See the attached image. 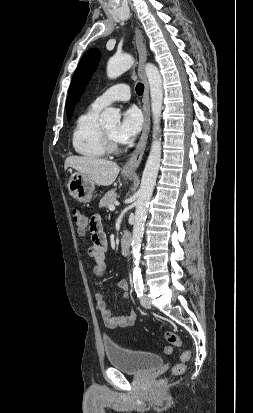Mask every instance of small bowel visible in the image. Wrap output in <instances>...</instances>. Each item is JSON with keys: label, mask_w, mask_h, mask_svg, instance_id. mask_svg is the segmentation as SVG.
<instances>
[{"label": "small bowel", "mask_w": 253, "mask_h": 413, "mask_svg": "<svg viewBox=\"0 0 253 413\" xmlns=\"http://www.w3.org/2000/svg\"><path fill=\"white\" fill-rule=\"evenodd\" d=\"M88 223L93 242L88 249V254L94 260V274L100 277L105 274L107 269L105 260L107 239L103 230L102 219L99 215L92 216ZM117 287L123 291H127L129 283L126 279H122L118 281ZM125 296L127 297V294H125ZM94 300L106 327L112 329L117 327L126 328L135 324L137 313L134 310H131L127 315L115 317L111 314L109 302L100 291L94 292Z\"/></svg>", "instance_id": "small-bowel-1"}]
</instances>
